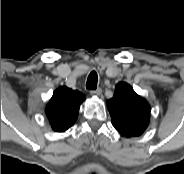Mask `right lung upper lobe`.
Segmentation results:
<instances>
[{
    "mask_svg": "<svg viewBox=\"0 0 184 174\" xmlns=\"http://www.w3.org/2000/svg\"><path fill=\"white\" fill-rule=\"evenodd\" d=\"M85 96L66 86H61L53 92L46 106V116L54 131L64 132L77 120L79 108Z\"/></svg>",
    "mask_w": 184,
    "mask_h": 174,
    "instance_id": "1",
    "label": "right lung upper lobe"
}]
</instances>
